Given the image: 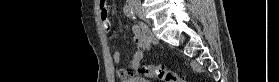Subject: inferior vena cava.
I'll return each mask as SVG.
<instances>
[{
	"mask_svg": "<svg viewBox=\"0 0 279 82\" xmlns=\"http://www.w3.org/2000/svg\"><path fill=\"white\" fill-rule=\"evenodd\" d=\"M135 2L138 4L140 2V0H135Z\"/></svg>",
	"mask_w": 279,
	"mask_h": 82,
	"instance_id": "1",
	"label": "inferior vena cava"
}]
</instances>
